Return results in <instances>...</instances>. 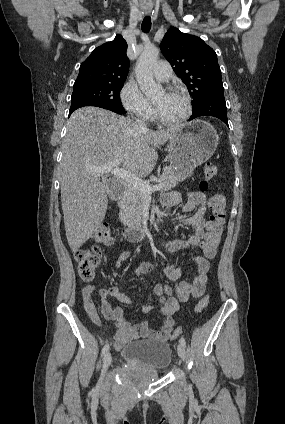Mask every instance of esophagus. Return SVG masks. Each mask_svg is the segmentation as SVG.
Masks as SVG:
<instances>
[{"label": "esophagus", "mask_w": 285, "mask_h": 424, "mask_svg": "<svg viewBox=\"0 0 285 424\" xmlns=\"http://www.w3.org/2000/svg\"><path fill=\"white\" fill-rule=\"evenodd\" d=\"M146 14H150V11H146Z\"/></svg>", "instance_id": "obj_1"}]
</instances>
